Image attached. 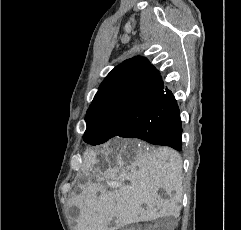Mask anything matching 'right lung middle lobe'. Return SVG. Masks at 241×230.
I'll return each mask as SVG.
<instances>
[{
  "instance_id": "1",
  "label": "right lung middle lobe",
  "mask_w": 241,
  "mask_h": 230,
  "mask_svg": "<svg viewBox=\"0 0 241 230\" xmlns=\"http://www.w3.org/2000/svg\"><path fill=\"white\" fill-rule=\"evenodd\" d=\"M147 107L148 104L136 110H115L95 121L87 122L83 140L95 146L114 137L134 138L135 131H139L146 124L144 112Z\"/></svg>"
}]
</instances>
